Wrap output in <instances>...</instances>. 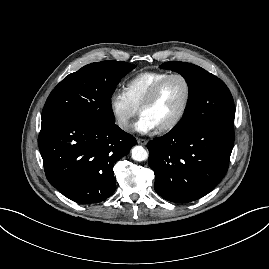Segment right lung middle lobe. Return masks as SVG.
Returning a JSON list of instances; mask_svg holds the SVG:
<instances>
[{"instance_id": "dd1d6c3e", "label": "right lung middle lobe", "mask_w": 269, "mask_h": 269, "mask_svg": "<svg viewBox=\"0 0 269 269\" xmlns=\"http://www.w3.org/2000/svg\"><path fill=\"white\" fill-rule=\"evenodd\" d=\"M135 67L109 60L88 64L69 74L50 93L42 120L65 116L100 126L114 124L111 96L120 79Z\"/></svg>"}]
</instances>
